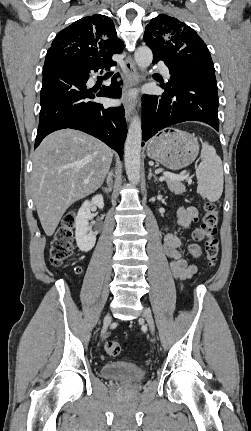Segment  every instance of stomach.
I'll use <instances>...</instances> for the list:
<instances>
[{
    "instance_id": "obj_1",
    "label": "stomach",
    "mask_w": 251,
    "mask_h": 431,
    "mask_svg": "<svg viewBox=\"0 0 251 431\" xmlns=\"http://www.w3.org/2000/svg\"><path fill=\"white\" fill-rule=\"evenodd\" d=\"M198 153L197 139L174 128L162 131L147 145V156L172 170L187 167L196 159Z\"/></svg>"
}]
</instances>
